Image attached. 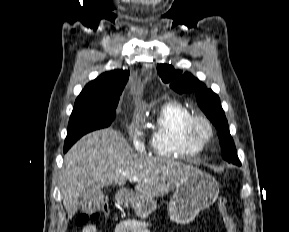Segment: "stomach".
<instances>
[{"instance_id":"0dacf381","label":"stomach","mask_w":289,"mask_h":232,"mask_svg":"<svg viewBox=\"0 0 289 232\" xmlns=\"http://www.w3.org/2000/svg\"><path fill=\"white\" fill-rule=\"evenodd\" d=\"M218 194V183L211 175L192 169L188 177L175 188L168 204L170 219L180 224L193 221L200 211L215 202ZM116 198L120 204L131 206L140 219H146L156 206L154 198L129 191H120Z\"/></svg>"}]
</instances>
